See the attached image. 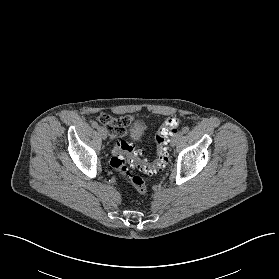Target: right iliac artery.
I'll return each instance as SVG.
<instances>
[{
  "mask_svg": "<svg viewBox=\"0 0 279 279\" xmlns=\"http://www.w3.org/2000/svg\"><path fill=\"white\" fill-rule=\"evenodd\" d=\"M91 125H92L93 128H99V125L96 121H92Z\"/></svg>",
  "mask_w": 279,
  "mask_h": 279,
  "instance_id": "82829eb1",
  "label": "right iliac artery"
}]
</instances>
